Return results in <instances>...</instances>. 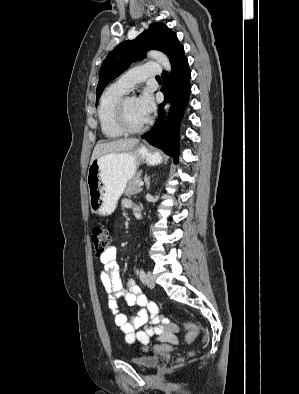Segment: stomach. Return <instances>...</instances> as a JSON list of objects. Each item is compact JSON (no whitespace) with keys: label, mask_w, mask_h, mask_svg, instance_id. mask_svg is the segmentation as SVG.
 Segmentation results:
<instances>
[{"label":"stomach","mask_w":299,"mask_h":394,"mask_svg":"<svg viewBox=\"0 0 299 394\" xmlns=\"http://www.w3.org/2000/svg\"><path fill=\"white\" fill-rule=\"evenodd\" d=\"M161 160L158 153L150 152L143 145L130 152L109 153L93 160L87 173L92 213L102 216L113 213L127 183L136 175L140 162L154 165Z\"/></svg>","instance_id":"obj_1"}]
</instances>
